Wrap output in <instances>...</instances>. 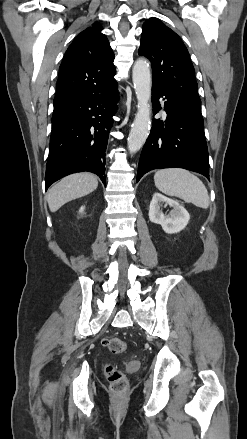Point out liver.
Returning a JSON list of instances; mask_svg holds the SVG:
<instances>
[{
  "label": "liver",
  "mask_w": 247,
  "mask_h": 439,
  "mask_svg": "<svg viewBox=\"0 0 247 439\" xmlns=\"http://www.w3.org/2000/svg\"><path fill=\"white\" fill-rule=\"evenodd\" d=\"M97 186V177L91 173H75L64 177L48 191L50 211L56 212L67 202L88 195Z\"/></svg>",
  "instance_id": "6515ba94"
}]
</instances>
